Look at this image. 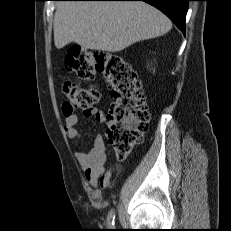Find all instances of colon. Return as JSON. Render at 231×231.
I'll use <instances>...</instances> for the list:
<instances>
[{
  "label": "colon",
  "instance_id": "1",
  "mask_svg": "<svg viewBox=\"0 0 231 231\" xmlns=\"http://www.w3.org/2000/svg\"><path fill=\"white\" fill-rule=\"evenodd\" d=\"M67 67L84 81L102 74L112 89V102L107 115V135L118 158L128 155L148 130L150 114L142 84L136 71L121 55L94 50H71L65 57ZM67 96L64 112L91 110L100 100L95 87H82L67 80L63 83Z\"/></svg>",
  "mask_w": 231,
  "mask_h": 231
}]
</instances>
